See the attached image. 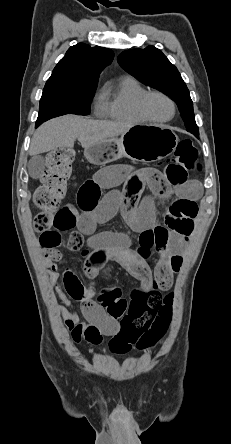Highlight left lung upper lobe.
Masks as SVG:
<instances>
[{
  "label": "left lung upper lobe",
  "mask_w": 231,
  "mask_h": 444,
  "mask_svg": "<svg viewBox=\"0 0 231 444\" xmlns=\"http://www.w3.org/2000/svg\"><path fill=\"white\" fill-rule=\"evenodd\" d=\"M118 62L143 84L170 96L176 102L187 130L199 136L189 90L177 68L159 49L148 46L145 49L127 50L119 55Z\"/></svg>",
  "instance_id": "left-lung-upper-lobe-1"
}]
</instances>
